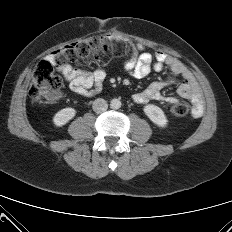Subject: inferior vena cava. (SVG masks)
Here are the masks:
<instances>
[{
  "label": "inferior vena cava",
  "instance_id": "1",
  "mask_svg": "<svg viewBox=\"0 0 232 232\" xmlns=\"http://www.w3.org/2000/svg\"><path fill=\"white\" fill-rule=\"evenodd\" d=\"M92 108L96 113H103L108 108L107 101L102 98H98L94 100Z\"/></svg>",
  "mask_w": 232,
  "mask_h": 232
}]
</instances>
